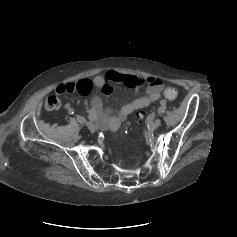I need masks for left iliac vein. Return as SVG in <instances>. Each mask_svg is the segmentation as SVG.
Returning <instances> with one entry per match:
<instances>
[{
    "label": "left iliac vein",
    "instance_id": "obj_1",
    "mask_svg": "<svg viewBox=\"0 0 237 237\" xmlns=\"http://www.w3.org/2000/svg\"><path fill=\"white\" fill-rule=\"evenodd\" d=\"M161 125V120L160 119H156L153 123H152V128L156 129Z\"/></svg>",
    "mask_w": 237,
    "mask_h": 237
}]
</instances>
